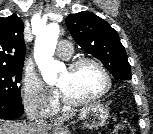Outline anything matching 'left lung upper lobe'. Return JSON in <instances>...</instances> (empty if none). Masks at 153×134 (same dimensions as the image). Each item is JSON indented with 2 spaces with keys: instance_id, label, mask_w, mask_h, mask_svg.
Segmentation results:
<instances>
[{
  "instance_id": "1",
  "label": "left lung upper lobe",
  "mask_w": 153,
  "mask_h": 134,
  "mask_svg": "<svg viewBox=\"0 0 153 134\" xmlns=\"http://www.w3.org/2000/svg\"><path fill=\"white\" fill-rule=\"evenodd\" d=\"M66 24L81 48L98 58L115 79L132 78L125 48L107 21L92 12L82 11L69 15Z\"/></svg>"
}]
</instances>
